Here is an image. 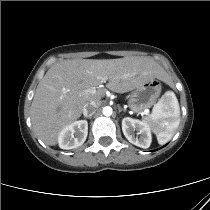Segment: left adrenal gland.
<instances>
[{
	"mask_svg": "<svg viewBox=\"0 0 210 210\" xmlns=\"http://www.w3.org/2000/svg\"><path fill=\"white\" fill-rule=\"evenodd\" d=\"M118 110H119V112H121V111L125 112V110L123 108H121L120 106L118 107Z\"/></svg>",
	"mask_w": 210,
	"mask_h": 210,
	"instance_id": "obj_1",
	"label": "left adrenal gland"
}]
</instances>
